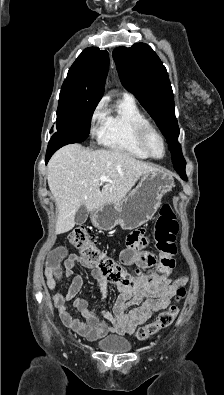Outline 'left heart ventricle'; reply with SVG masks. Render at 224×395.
<instances>
[{
    "label": "left heart ventricle",
    "instance_id": "obj_1",
    "mask_svg": "<svg viewBox=\"0 0 224 395\" xmlns=\"http://www.w3.org/2000/svg\"><path fill=\"white\" fill-rule=\"evenodd\" d=\"M148 144L153 154H155L158 157L163 155L164 152L163 145L161 143V140L156 135L154 134L149 135Z\"/></svg>",
    "mask_w": 224,
    "mask_h": 395
}]
</instances>
